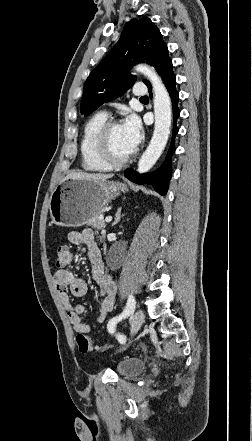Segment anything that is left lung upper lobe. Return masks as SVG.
I'll return each mask as SVG.
<instances>
[{"mask_svg":"<svg viewBox=\"0 0 252 441\" xmlns=\"http://www.w3.org/2000/svg\"><path fill=\"white\" fill-rule=\"evenodd\" d=\"M166 48L159 29L149 18L126 23L119 41L85 82L81 114L88 116L103 103L121 96L136 79L129 69L137 63L156 68ZM143 82L149 84L147 80Z\"/></svg>","mask_w":252,"mask_h":441,"instance_id":"obj_1","label":"left lung upper lobe"}]
</instances>
